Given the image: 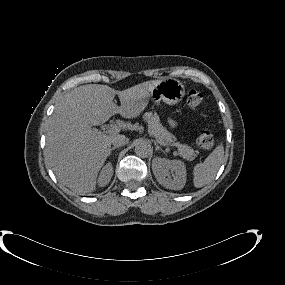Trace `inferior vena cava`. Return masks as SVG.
I'll return each instance as SVG.
<instances>
[{"instance_id": "inferior-vena-cava-1", "label": "inferior vena cava", "mask_w": 285, "mask_h": 285, "mask_svg": "<svg viewBox=\"0 0 285 285\" xmlns=\"http://www.w3.org/2000/svg\"><path fill=\"white\" fill-rule=\"evenodd\" d=\"M129 141V139L127 137H125L124 135H118L116 137H114V139L112 140V144L114 146H122L127 144Z\"/></svg>"}]
</instances>
